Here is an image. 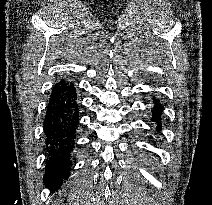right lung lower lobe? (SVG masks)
Listing matches in <instances>:
<instances>
[{
    "label": "right lung lower lobe",
    "mask_w": 212,
    "mask_h": 205,
    "mask_svg": "<svg viewBox=\"0 0 212 205\" xmlns=\"http://www.w3.org/2000/svg\"><path fill=\"white\" fill-rule=\"evenodd\" d=\"M79 124V104L74 83L59 80L52 89L44 120L48 160L44 182L52 191L69 177L70 153Z\"/></svg>",
    "instance_id": "1"
}]
</instances>
